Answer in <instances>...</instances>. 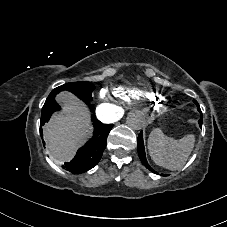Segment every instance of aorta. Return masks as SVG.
<instances>
[{
	"label": "aorta",
	"instance_id": "1",
	"mask_svg": "<svg viewBox=\"0 0 227 227\" xmlns=\"http://www.w3.org/2000/svg\"><path fill=\"white\" fill-rule=\"evenodd\" d=\"M127 124L134 130H140L146 124V116L142 111L134 110L128 114Z\"/></svg>",
	"mask_w": 227,
	"mask_h": 227
}]
</instances>
